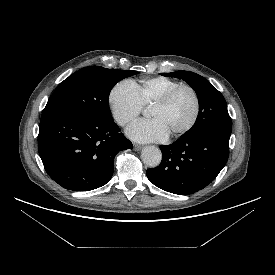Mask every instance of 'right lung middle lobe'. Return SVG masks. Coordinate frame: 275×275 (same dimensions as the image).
Listing matches in <instances>:
<instances>
[{
	"label": "right lung middle lobe",
	"mask_w": 275,
	"mask_h": 275,
	"mask_svg": "<svg viewBox=\"0 0 275 275\" xmlns=\"http://www.w3.org/2000/svg\"><path fill=\"white\" fill-rule=\"evenodd\" d=\"M137 71L85 67L66 78L55 89L44 112L68 110L113 120L108 104L111 89Z\"/></svg>",
	"instance_id": "dd1d6c3e"
}]
</instances>
